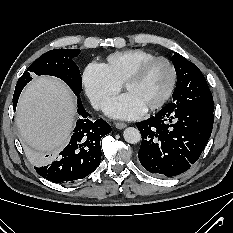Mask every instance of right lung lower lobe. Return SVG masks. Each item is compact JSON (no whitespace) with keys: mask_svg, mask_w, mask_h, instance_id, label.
<instances>
[{"mask_svg":"<svg viewBox=\"0 0 233 233\" xmlns=\"http://www.w3.org/2000/svg\"><path fill=\"white\" fill-rule=\"evenodd\" d=\"M21 91L14 92V110ZM77 104L80 118L69 144L57 157L52 158L50 164L40 168L35 167L40 176L56 183H74L92 173L101 159L100 139L111 132V126L103 119L92 121L89 118L90 115L85 111L80 98Z\"/></svg>","mask_w":233,"mask_h":233,"instance_id":"1","label":"right lung lower lobe"}]
</instances>
